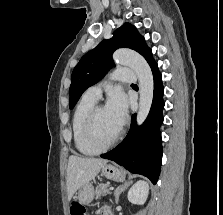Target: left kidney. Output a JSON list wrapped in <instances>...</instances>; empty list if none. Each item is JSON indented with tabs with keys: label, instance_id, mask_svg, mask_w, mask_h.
<instances>
[{
	"label": "left kidney",
	"instance_id": "1",
	"mask_svg": "<svg viewBox=\"0 0 223 215\" xmlns=\"http://www.w3.org/2000/svg\"><path fill=\"white\" fill-rule=\"evenodd\" d=\"M148 193L149 183L140 179V181H136V183L130 187L127 197L131 203H140V205H143L148 197Z\"/></svg>",
	"mask_w": 223,
	"mask_h": 215
}]
</instances>
